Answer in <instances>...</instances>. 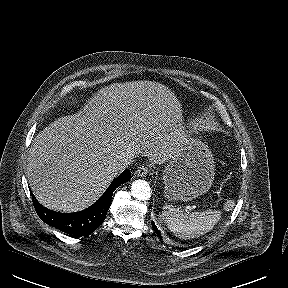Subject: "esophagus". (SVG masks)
<instances>
[{
  "mask_svg": "<svg viewBox=\"0 0 288 288\" xmlns=\"http://www.w3.org/2000/svg\"><path fill=\"white\" fill-rule=\"evenodd\" d=\"M148 172H149L148 167L142 165L136 169L135 175L137 177H144L145 175L148 174Z\"/></svg>",
  "mask_w": 288,
  "mask_h": 288,
  "instance_id": "obj_1",
  "label": "esophagus"
}]
</instances>
